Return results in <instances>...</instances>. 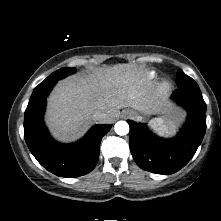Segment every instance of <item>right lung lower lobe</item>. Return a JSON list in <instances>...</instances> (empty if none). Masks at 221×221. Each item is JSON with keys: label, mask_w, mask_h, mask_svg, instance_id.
Returning a JSON list of instances; mask_svg holds the SVG:
<instances>
[{"label": "right lung lower lobe", "mask_w": 221, "mask_h": 221, "mask_svg": "<svg viewBox=\"0 0 221 221\" xmlns=\"http://www.w3.org/2000/svg\"><path fill=\"white\" fill-rule=\"evenodd\" d=\"M55 83L34 89L24 115V138L36 160L51 173L66 178L91 172L99 159L102 137L111 125H96L80 141L63 145L54 141L44 125L46 97Z\"/></svg>", "instance_id": "98d812e1"}]
</instances>
